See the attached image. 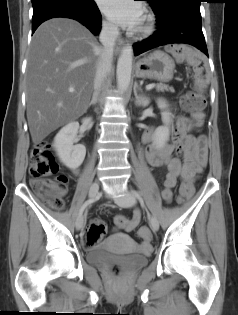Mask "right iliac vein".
<instances>
[{"label": "right iliac vein", "instance_id": "1", "mask_svg": "<svg viewBox=\"0 0 238 315\" xmlns=\"http://www.w3.org/2000/svg\"><path fill=\"white\" fill-rule=\"evenodd\" d=\"M99 194V183L94 182L89 189V197L90 198H95ZM84 224V217L80 215L77 220H76V229L80 230L83 227Z\"/></svg>", "mask_w": 238, "mask_h": 315}]
</instances>
